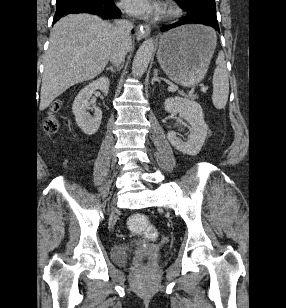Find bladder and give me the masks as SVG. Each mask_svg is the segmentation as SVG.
<instances>
[{
    "label": "bladder",
    "mask_w": 286,
    "mask_h": 308,
    "mask_svg": "<svg viewBox=\"0 0 286 308\" xmlns=\"http://www.w3.org/2000/svg\"><path fill=\"white\" fill-rule=\"evenodd\" d=\"M133 247V244L128 241H123L116 243L113 246V258L119 264L127 263V256L130 249Z\"/></svg>",
    "instance_id": "31cf9c89"
}]
</instances>
